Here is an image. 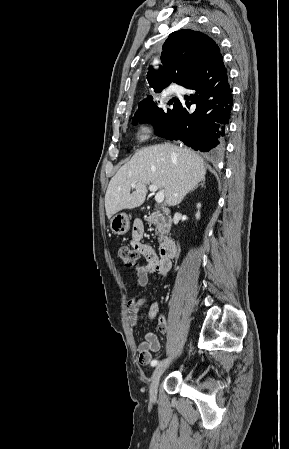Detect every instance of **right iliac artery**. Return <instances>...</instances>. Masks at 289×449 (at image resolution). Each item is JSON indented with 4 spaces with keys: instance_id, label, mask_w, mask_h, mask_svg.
<instances>
[{
    "instance_id": "right-iliac-artery-1",
    "label": "right iliac artery",
    "mask_w": 289,
    "mask_h": 449,
    "mask_svg": "<svg viewBox=\"0 0 289 449\" xmlns=\"http://www.w3.org/2000/svg\"><path fill=\"white\" fill-rule=\"evenodd\" d=\"M158 364V360H153L152 362H151V366H156Z\"/></svg>"
}]
</instances>
